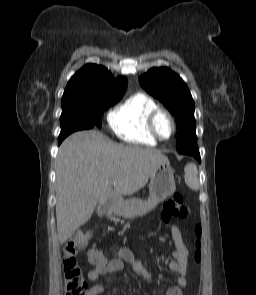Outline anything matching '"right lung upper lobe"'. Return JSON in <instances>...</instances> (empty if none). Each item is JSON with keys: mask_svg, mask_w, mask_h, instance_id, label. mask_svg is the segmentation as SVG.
I'll return each instance as SVG.
<instances>
[{"mask_svg": "<svg viewBox=\"0 0 256 295\" xmlns=\"http://www.w3.org/2000/svg\"><path fill=\"white\" fill-rule=\"evenodd\" d=\"M127 79H114L103 66L87 64L69 80L62 97V107L124 95Z\"/></svg>", "mask_w": 256, "mask_h": 295, "instance_id": "right-lung-upper-lobe-1", "label": "right lung upper lobe"}]
</instances>
